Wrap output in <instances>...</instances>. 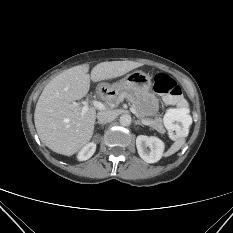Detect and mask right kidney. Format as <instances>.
I'll return each mask as SVG.
<instances>
[{"label": "right kidney", "instance_id": "right-kidney-1", "mask_svg": "<svg viewBox=\"0 0 233 233\" xmlns=\"http://www.w3.org/2000/svg\"><path fill=\"white\" fill-rule=\"evenodd\" d=\"M96 144L94 142H90L86 144L78 153L77 158L79 161H86L95 153Z\"/></svg>", "mask_w": 233, "mask_h": 233}]
</instances>
